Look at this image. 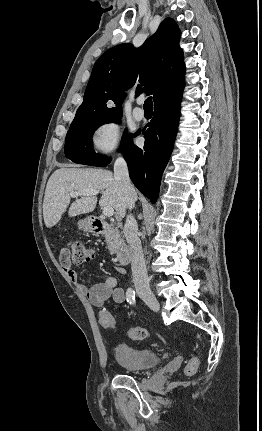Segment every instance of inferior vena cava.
I'll list each match as a JSON object with an SVG mask.
<instances>
[{"instance_id": "inferior-vena-cava-1", "label": "inferior vena cava", "mask_w": 262, "mask_h": 431, "mask_svg": "<svg viewBox=\"0 0 262 431\" xmlns=\"http://www.w3.org/2000/svg\"><path fill=\"white\" fill-rule=\"evenodd\" d=\"M114 177L121 183L124 192L128 196V208L131 210L134 207L136 200L133 197L134 188L130 181L128 166L122 156H119L114 163ZM137 231V222L134 217L129 214L126 218L123 232L131 251L133 282L137 289L149 291V278L147 275L141 241L138 237Z\"/></svg>"}]
</instances>
